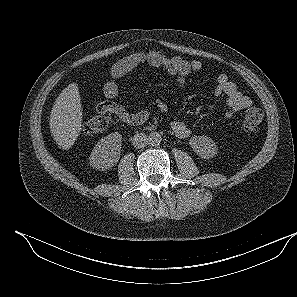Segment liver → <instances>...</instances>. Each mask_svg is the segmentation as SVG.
<instances>
[{
  "instance_id": "1",
  "label": "liver",
  "mask_w": 297,
  "mask_h": 297,
  "mask_svg": "<svg viewBox=\"0 0 297 297\" xmlns=\"http://www.w3.org/2000/svg\"><path fill=\"white\" fill-rule=\"evenodd\" d=\"M50 131L62 149H69L77 140L82 127V105L78 85L69 84L52 107Z\"/></svg>"
}]
</instances>
